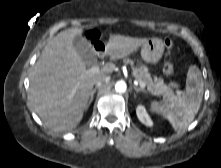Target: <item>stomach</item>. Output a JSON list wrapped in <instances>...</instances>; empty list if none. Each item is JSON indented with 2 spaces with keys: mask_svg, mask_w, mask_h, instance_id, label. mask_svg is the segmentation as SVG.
Instances as JSON below:
<instances>
[{
  "mask_svg": "<svg viewBox=\"0 0 221 168\" xmlns=\"http://www.w3.org/2000/svg\"><path fill=\"white\" fill-rule=\"evenodd\" d=\"M165 44L159 38L148 39L141 46V57L148 64H156L162 58Z\"/></svg>",
  "mask_w": 221,
  "mask_h": 168,
  "instance_id": "1",
  "label": "stomach"
}]
</instances>
